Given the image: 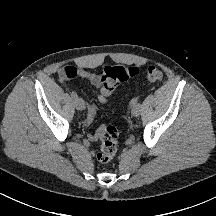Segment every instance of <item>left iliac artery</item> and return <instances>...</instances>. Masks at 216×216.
Wrapping results in <instances>:
<instances>
[{
    "mask_svg": "<svg viewBox=\"0 0 216 216\" xmlns=\"http://www.w3.org/2000/svg\"><path fill=\"white\" fill-rule=\"evenodd\" d=\"M137 104H138V97H135V98H133V99L131 100L130 105H131V106H135V105H137Z\"/></svg>",
    "mask_w": 216,
    "mask_h": 216,
    "instance_id": "1",
    "label": "left iliac artery"
}]
</instances>
